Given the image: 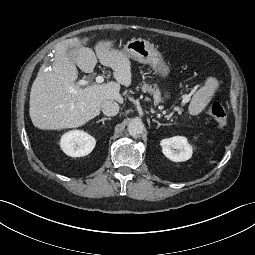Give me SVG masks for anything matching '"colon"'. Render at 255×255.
<instances>
[{
    "mask_svg": "<svg viewBox=\"0 0 255 255\" xmlns=\"http://www.w3.org/2000/svg\"><path fill=\"white\" fill-rule=\"evenodd\" d=\"M207 109L220 128H224L227 125V113L215 97L209 100Z\"/></svg>",
    "mask_w": 255,
    "mask_h": 255,
    "instance_id": "5ec220e1",
    "label": "colon"
}]
</instances>
